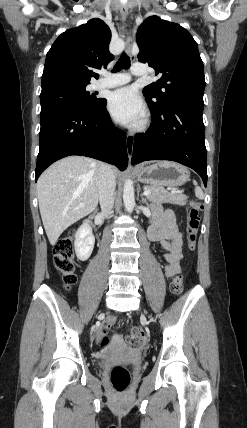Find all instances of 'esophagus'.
<instances>
[{
	"instance_id": "obj_1",
	"label": "esophagus",
	"mask_w": 247,
	"mask_h": 428,
	"mask_svg": "<svg viewBox=\"0 0 247 428\" xmlns=\"http://www.w3.org/2000/svg\"><path fill=\"white\" fill-rule=\"evenodd\" d=\"M128 13L129 12H128V9L126 7H123L121 9L122 25L120 28V33L122 36H124L126 34L125 22H126V19L128 17ZM130 50H131V44L128 40L127 46H126V51L130 57V60L133 61L135 58L131 55ZM133 147H134V136L131 133H127V135H126V149H127L129 161H131V158L133 155Z\"/></svg>"
}]
</instances>
